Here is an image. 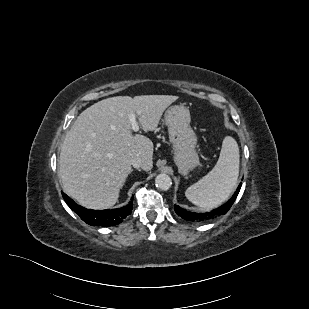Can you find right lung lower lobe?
Returning a JSON list of instances; mask_svg holds the SVG:
<instances>
[{
    "instance_id": "98d812e1",
    "label": "right lung lower lobe",
    "mask_w": 309,
    "mask_h": 309,
    "mask_svg": "<svg viewBox=\"0 0 309 309\" xmlns=\"http://www.w3.org/2000/svg\"><path fill=\"white\" fill-rule=\"evenodd\" d=\"M63 194V198L67 205L79 215V217L89 225L92 226H115L121 223L129 214H131L133 209V198L128 205L112 210H91L81 207L76 204L67 195Z\"/></svg>"
}]
</instances>
